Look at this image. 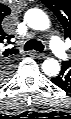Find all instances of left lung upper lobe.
<instances>
[{
	"instance_id": "left-lung-upper-lobe-1",
	"label": "left lung upper lobe",
	"mask_w": 71,
	"mask_h": 119,
	"mask_svg": "<svg viewBox=\"0 0 71 119\" xmlns=\"http://www.w3.org/2000/svg\"><path fill=\"white\" fill-rule=\"evenodd\" d=\"M59 19L65 29V38L71 39V0H41ZM71 65L70 62L64 61Z\"/></svg>"
}]
</instances>
